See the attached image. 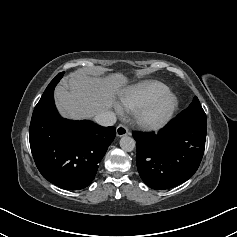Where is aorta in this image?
Masks as SVG:
<instances>
[{"mask_svg": "<svg viewBox=\"0 0 237 237\" xmlns=\"http://www.w3.org/2000/svg\"><path fill=\"white\" fill-rule=\"evenodd\" d=\"M120 147L126 152H131L135 148V140L129 136H123L120 139Z\"/></svg>", "mask_w": 237, "mask_h": 237, "instance_id": "1", "label": "aorta"}]
</instances>
